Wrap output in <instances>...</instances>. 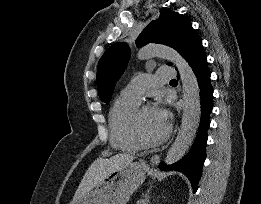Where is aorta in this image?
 Instances as JSON below:
<instances>
[{
	"label": "aorta",
	"instance_id": "obj_1",
	"mask_svg": "<svg viewBox=\"0 0 261 204\" xmlns=\"http://www.w3.org/2000/svg\"><path fill=\"white\" fill-rule=\"evenodd\" d=\"M152 57L171 61L177 67L182 82L184 100L182 121L177 137L165 158L166 164H173L184 156L196 135L201 117L200 90L192 68L176 50L167 46L149 44L138 53L140 59Z\"/></svg>",
	"mask_w": 261,
	"mask_h": 204
}]
</instances>
